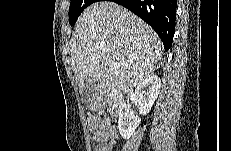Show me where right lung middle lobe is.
Masks as SVG:
<instances>
[{"label": "right lung middle lobe", "instance_id": "obj_1", "mask_svg": "<svg viewBox=\"0 0 231 151\" xmlns=\"http://www.w3.org/2000/svg\"><path fill=\"white\" fill-rule=\"evenodd\" d=\"M96 0H71L69 7V23L73 26L83 10Z\"/></svg>", "mask_w": 231, "mask_h": 151}]
</instances>
